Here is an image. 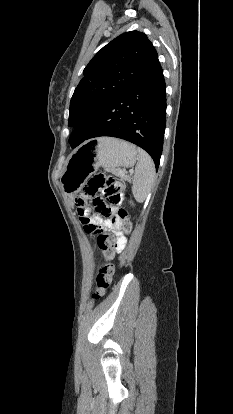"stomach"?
<instances>
[{
	"label": "stomach",
	"instance_id": "1",
	"mask_svg": "<svg viewBox=\"0 0 233 414\" xmlns=\"http://www.w3.org/2000/svg\"><path fill=\"white\" fill-rule=\"evenodd\" d=\"M137 157L136 147L131 143L115 138L92 139L69 156L61 177L62 189L73 199L99 167L115 172L121 167H132Z\"/></svg>",
	"mask_w": 233,
	"mask_h": 414
}]
</instances>
